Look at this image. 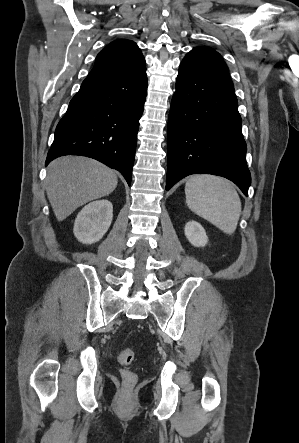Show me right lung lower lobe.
Masks as SVG:
<instances>
[{
    "label": "right lung lower lobe",
    "instance_id": "obj_1",
    "mask_svg": "<svg viewBox=\"0 0 299 443\" xmlns=\"http://www.w3.org/2000/svg\"><path fill=\"white\" fill-rule=\"evenodd\" d=\"M146 94V70L87 77L56 127L46 165L63 155L88 156L120 171L130 185Z\"/></svg>",
    "mask_w": 299,
    "mask_h": 443
}]
</instances>
